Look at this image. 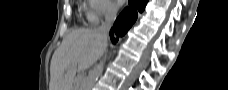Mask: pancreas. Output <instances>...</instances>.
<instances>
[{"instance_id": "cf45deb5", "label": "pancreas", "mask_w": 228, "mask_h": 90, "mask_svg": "<svg viewBox=\"0 0 228 90\" xmlns=\"http://www.w3.org/2000/svg\"><path fill=\"white\" fill-rule=\"evenodd\" d=\"M74 85H75V89H81V85H82V79L81 78H76L74 81Z\"/></svg>"}]
</instances>
